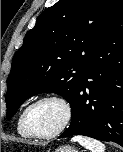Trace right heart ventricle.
<instances>
[{"instance_id":"obj_1","label":"right heart ventricle","mask_w":123,"mask_h":152,"mask_svg":"<svg viewBox=\"0 0 123 152\" xmlns=\"http://www.w3.org/2000/svg\"><path fill=\"white\" fill-rule=\"evenodd\" d=\"M25 110V109H24ZM24 110L21 111V113L19 114L18 116V119H17V124H16V127H17V132L20 136L24 137V138H29L31 137L27 132L26 130L24 129V126H23V122H22V117H23V112Z\"/></svg>"}]
</instances>
